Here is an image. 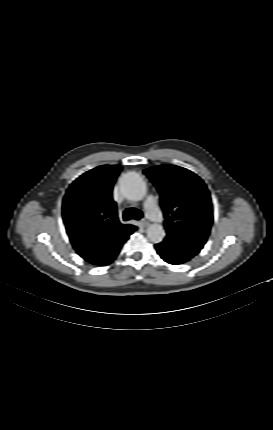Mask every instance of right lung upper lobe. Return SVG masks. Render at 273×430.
Segmentation results:
<instances>
[{"label": "right lung upper lobe", "mask_w": 273, "mask_h": 430, "mask_svg": "<svg viewBox=\"0 0 273 430\" xmlns=\"http://www.w3.org/2000/svg\"><path fill=\"white\" fill-rule=\"evenodd\" d=\"M118 165H102L77 178L63 199V220L76 252L88 262L100 259L103 244L124 243L137 229L120 223L112 198L121 171Z\"/></svg>", "instance_id": "cb5924a9"}]
</instances>
